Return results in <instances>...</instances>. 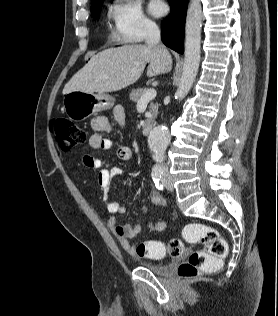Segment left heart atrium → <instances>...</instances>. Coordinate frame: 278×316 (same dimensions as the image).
I'll return each instance as SVG.
<instances>
[{"mask_svg": "<svg viewBox=\"0 0 278 316\" xmlns=\"http://www.w3.org/2000/svg\"><path fill=\"white\" fill-rule=\"evenodd\" d=\"M149 12L154 16H162L167 12V5L162 0H151L149 3Z\"/></svg>", "mask_w": 278, "mask_h": 316, "instance_id": "1", "label": "left heart atrium"}]
</instances>
